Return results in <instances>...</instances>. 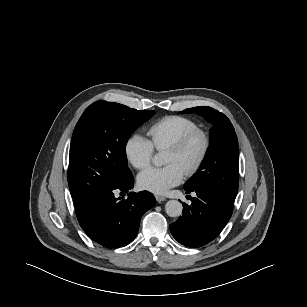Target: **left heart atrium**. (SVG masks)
I'll list each match as a JSON object with an SVG mask.
<instances>
[{
	"label": "left heart atrium",
	"mask_w": 307,
	"mask_h": 307,
	"mask_svg": "<svg viewBox=\"0 0 307 307\" xmlns=\"http://www.w3.org/2000/svg\"><path fill=\"white\" fill-rule=\"evenodd\" d=\"M184 176L183 170L176 164H169L164 167H149L142 171L137 182L141 189L163 194L170 188L178 185Z\"/></svg>",
	"instance_id": "1"
}]
</instances>
